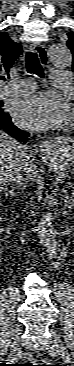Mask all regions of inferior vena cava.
Instances as JSON below:
<instances>
[{
	"label": "inferior vena cava",
	"mask_w": 74,
	"mask_h": 366,
	"mask_svg": "<svg viewBox=\"0 0 74 366\" xmlns=\"http://www.w3.org/2000/svg\"><path fill=\"white\" fill-rule=\"evenodd\" d=\"M25 150H27V148H25ZM24 157H26V154L24 152H22V154L20 156L19 169L16 172L15 177L13 179L17 185V190L20 195L24 194V191L26 188V183L24 182V178H23Z\"/></svg>",
	"instance_id": "obj_1"
}]
</instances>
